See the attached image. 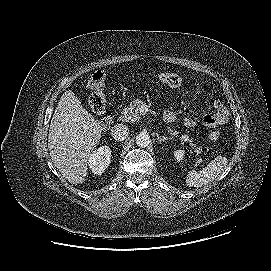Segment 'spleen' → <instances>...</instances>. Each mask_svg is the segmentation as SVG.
I'll return each instance as SVG.
<instances>
[{"instance_id": "1", "label": "spleen", "mask_w": 271, "mask_h": 271, "mask_svg": "<svg viewBox=\"0 0 271 271\" xmlns=\"http://www.w3.org/2000/svg\"><path fill=\"white\" fill-rule=\"evenodd\" d=\"M228 164L226 157L217 156L205 168L200 171L191 170L186 177L188 187H202L221 175Z\"/></svg>"}]
</instances>
